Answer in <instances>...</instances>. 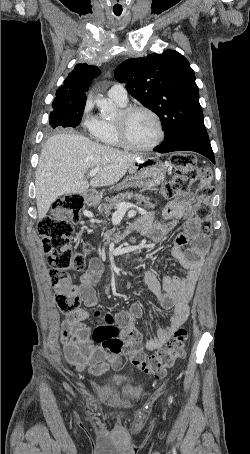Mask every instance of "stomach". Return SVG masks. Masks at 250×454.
<instances>
[{"label": "stomach", "mask_w": 250, "mask_h": 454, "mask_svg": "<svg viewBox=\"0 0 250 454\" xmlns=\"http://www.w3.org/2000/svg\"><path fill=\"white\" fill-rule=\"evenodd\" d=\"M166 165L155 157H143L135 161L129 168L130 177L127 186L154 187L159 185L165 178ZM93 195L85 196L87 203L93 202Z\"/></svg>", "instance_id": "1"}]
</instances>
